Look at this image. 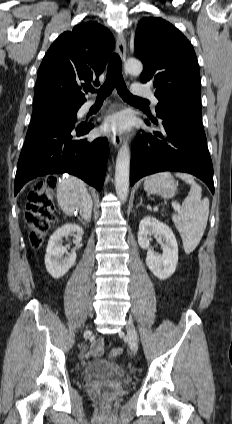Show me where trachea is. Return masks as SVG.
I'll list each match as a JSON object with an SVG mask.
<instances>
[{"mask_svg": "<svg viewBox=\"0 0 232 424\" xmlns=\"http://www.w3.org/2000/svg\"><path fill=\"white\" fill-rule=\"evenodd\" d=\"M116 88L118 94L125 100L133 103H149L148 100L141 99L139 97L133 96L127 89L122 76V64L121 59L118 54L114 53L111 55L108 69L107 77L103 86L98 90V100H103L111 94L113 89ZM91 92H94V89L89 88Z\"/></svg>", "mask_w": 232, "mask_h": 424, "instance_id": "3493384b", "label": "trachea"}]
</instances>
